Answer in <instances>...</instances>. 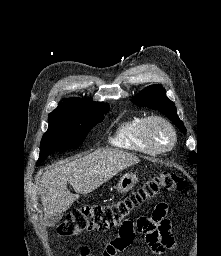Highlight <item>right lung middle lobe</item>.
<instances>
[{
    "instance_id": "dd1d6c3e",
    "label": "right lung middle lobe",
    "mask_w": 221,
    "mask_h": 256,
    "mask_svg": "<svg viewBox=\"0 0 221 256\" xmlns=\"http://www.w3.org/2000/svg\"><path fill=\"white\" fill-rule=\"evenodd\" d=\"M108 110V104L92 102L74 113L50 114L49 127L41 141L37 165L54 151L79 146L90 129L103 120V115Z\"/></svg>"
}]
</instances>
